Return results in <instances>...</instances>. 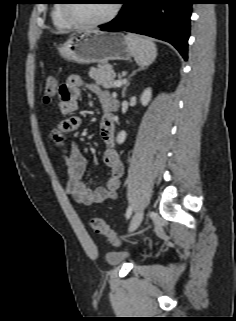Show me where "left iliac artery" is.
I'll return each instance as SVG.
<instances>
[{"mask_svg": "<svg viewBox=\"0 0 236 321\" xmlns=\"http://www.w3.org/2000/svg\"><path fill=\"white\" fill-rule=\"evenodd\" d=\"M132 214V206H129L126 211V218L128 219Z\"/></svg>", "mask_w": 236, "mask_h": 321, "instance_id": "44dca946", "label": "left iliac artery"}]
</instances>
